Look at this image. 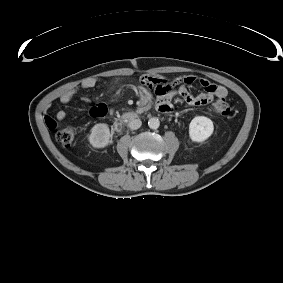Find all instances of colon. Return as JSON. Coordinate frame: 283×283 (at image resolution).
<instances>
[{
  "instance_id": "5ec220e1",
  "label": "colon",
  "mask_w": 283,
  "mask_h": 283,
  "mask_svg": "<svg viewBox=\"0 0 283 283\" xmlns=\"http://www.w3.org/2000/svg\"><path fill=\"white\" fill-rule=\"evenodd\" d=\"M209 112L217 116H228L230 106L224 99H219L209 106ZM76 132L72 128H64L58 131L57 141L64 147H70L74 144Z\"/></svg>"
}]
</instances>
